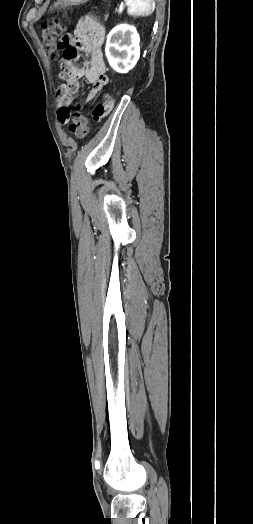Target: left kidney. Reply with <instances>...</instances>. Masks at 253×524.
Listing matches in <instances>:
<instances>
[{
    "label": "left kidney",
    "instance_id": "left-kidney-1",
    "mask_svg": "<svg viewBox=\"0 0 253 524\" xmlns=\"http://www.w3.org/2000/svg\"><path fill=\"white\" fill-rule=\"evenodd\" d=\"M140 37L135 27L121 24L107 36L105 54L110 66L118 73H128L140 57Z\"/></svg>",
    "mask_w": 253,
    "mask_h": 524
}]
</instances>
